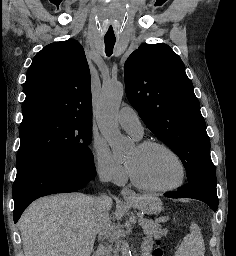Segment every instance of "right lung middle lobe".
Segmentation results:
<instances>
[{
	"label": "right lung middle lobe",
	"instance_id": "right-lung-middle-lobe-1",
	"mask_svg": "<svg viewBox=\"0 0 236 256\" xmlns=\"http://www.w3.org/2000/svg\"><path fill=\"white\" fill-rule=\"evenodd\" d=\"M92 123L54 115L23 119L21 144L17 153V173L30 165L51 160L94 162L89 149Z\"/></svg>",
	"mask_w": 236,
	"mask_h": 256
}]
</instances>
